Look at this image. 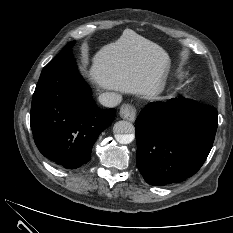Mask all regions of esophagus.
I'll list each match as a JSON object with an SVG mask.
<instances>
[{
  "label": "esophagus",
  "instance_id": "1",
  "mask_svg": "<svg viewBox=\"0 0 233 233\" xmlns=\"http://www.w3.org/2000/svg\"><path fill=\"white\" fill-rule=\"evenodd\" d=\"M119 114L121 118L133 122L136 118V108L130 104H123Z\"/></svg>",
  "mask_w": 233,
  "mask_h": 233
}]
</instances>
